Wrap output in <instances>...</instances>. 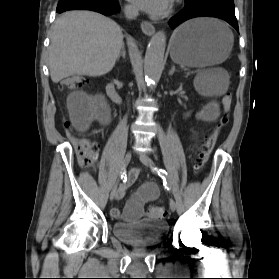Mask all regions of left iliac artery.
<instances>
[{
    "instance_id": "obj_1",
    "label": "left iliac artery",
    "mask_w": 279,
    "mask_h": 279,
    "mask_svg": "<svg viewBox=\"0 0 279 279\" xmlns=\"http://www.w3.org/2000/svg\"><path fill=\"white\" fill-rule=\"evenodd\" d=\"M152 171L156 172L162 178L164 187L168 191H170L171 190V186H170V184L168 182V174H167V172L164 169L157 168V167L152 168Z\"/></svg>"
}]
</instances>
